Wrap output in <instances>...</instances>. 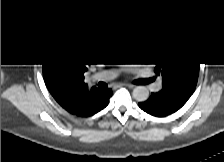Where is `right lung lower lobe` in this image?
<instances>
[{"instance_id":"obj_1","label":"right lung lower lobe","mask_w":224,"mask_h":162,"mask_svg":"<svg viewBox=\"0 0 224 162\" xmlns=\"http://www.w3.org/2000/svg\"><path fill=\"white\" fill-rule=\"evenodd\" d=\"M108 103H109V99L107 100V102L104 104V106H103L100 110H102L103 108H105V107L108 105ZM100 110H99V111H100ZM99 111H98V112H99Z\"/></svg>"}]
</instances>
